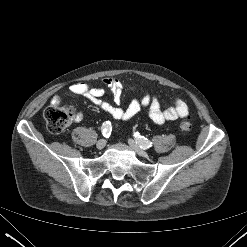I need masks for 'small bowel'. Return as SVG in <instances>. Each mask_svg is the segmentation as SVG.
Here are the masks:
<instances>
[{
  "mask_svg": "<svg viewBox=\"0 0 247 247\" xmlns=\"http://www.w3.org/2000/svg\"><path fill=\"white\" fill-rule=\"evenodd\" d=\"M105 88H108L113 93L115 105H112L102 99ZM70 91L79 96H83L91 103L99 107L115 120L127 121L141 112L142 109H147L149 117L157 125H163L167 121H173L179 118H185L189 114L188 106L180 98H176L171 106L163 108L159 99L147 93L141 100H132L127 107L120 106L122 97V84L113 77H108L103 80V86L93 87L84 82H76L70 86ZM60 102L59 97L53 99L54 104ZM82 114L77 115V119H81Z\"/></svg>",
  "mask_w": 247,
  "mask_h": 247,
  "instance_id": "1",
  "label": "small bowel"
}]
</instances>
